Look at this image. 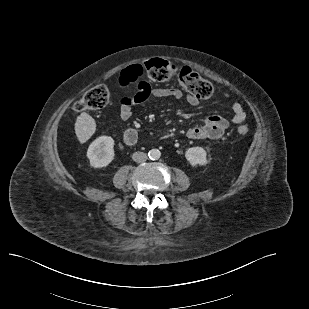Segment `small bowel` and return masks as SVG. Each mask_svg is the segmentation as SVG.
I'll return each instance as SVG.
<instances>
[{"label":"small bowel","instance_id":"1","mask_svg":"<svg viewBox=\"0 0 309 309\" xmlns=\"http://www.w3.org/2000/svg\"><path fill=\"white\" fill-rule=\"evenodd\" d=\"M126 70V69H125ZM125 70L116 78L114 84L118 87H127L133 81L125 77ZM225 97H229L227 93ZM150 97L155 98H173L180 100L183 98L181 90L173 87H151L149 83L141 81L137 85V90L133 96H125L120 99V117L122 120H129L132 116L134 106L144 103ZM186 101L190 106H197L199 104L198 98L187 95ZM234 124H242L246 118L245 111L242 105L234 102L232 105ZM229 126V121L219 115H211L205 118L204 123L200 126L193 127L188 130L187 136L193 140L200 139H219L223 136ZM138 135L134 128H128L124 133V142L127 145H134L137 142Z\"/></svg>","mask_w":309,"mask_h":309}]
</instances>
